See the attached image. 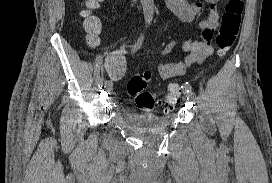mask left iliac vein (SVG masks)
Returning <instances> with one entry per match:
<instances>
[{
  "instance_id": "obj_1",
  "label": "left iliac vein",
  "mask_w": 272,
  "mask_h": 183,
  "mask_svg": "<svg viewBox=\"0 0 272 183\" xmlns=\"http://www.w3.org/2000/svg\"><path fill=\"white\" fill-rule=\"evenodd\" d=\"M185 96L188 98V99H193V93H187L185 92Z\"/></svg>"
}]
</instances>
